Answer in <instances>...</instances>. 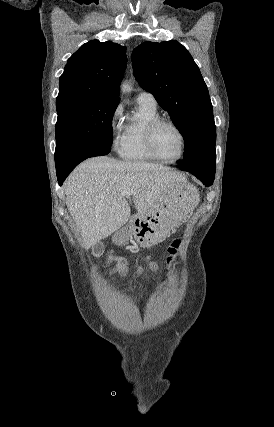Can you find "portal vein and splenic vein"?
<instances>
[{
	"label": "portal vein and splenic vein",
	"instance_id": "obj_1",
	"mask_svg": "<svg viewBox=\"0 0 274 427\" xmlns=\"http://www.w3.org/2000/svg\"><path fill=\"white\" fill-rule=\"evenodd\" d=\"M123 196H126V198H130L132 196L133 192H130V190H125V192H122Z\"/></svg>",
	"mask_w": 274,
	"mask_h": 427
}]
</instances>
